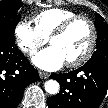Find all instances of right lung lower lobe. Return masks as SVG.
<instances>
[{"instance_id": "obj_1", "label": "right lung lower lobe", "mask_w": 108, "mask_h": 108, "mask_svg": "<svg viewBox=\"0 0 108 108\" xmlns=\"http://www.w3.org/2000/svg\"><path fill=\"white\" fill-rule=\"evenodd\" d=\"M38 79V71L15 43L0 38V108L17 107L24 89Z\"/></svg>"}]
</instances>
